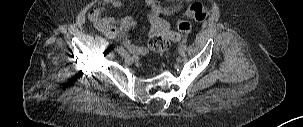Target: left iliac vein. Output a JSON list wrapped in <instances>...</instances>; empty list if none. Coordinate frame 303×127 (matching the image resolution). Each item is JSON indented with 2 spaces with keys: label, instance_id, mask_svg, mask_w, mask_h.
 Returning <instances> with one entry per match:
<instances>
[{
  "label": "left iliac vein",
  "instance_id": "1",
  "mask_svg": "<svg viewBox=\"0 0 303 127\" xmlns=\"http://www.w3.org/2000/svg\"><path fill=\"white\" fill-rule=\"evenodd\" d=\"M179 53H180V55H181L182 57L185 56V51H183L181 48H179Z\"/></svg>",
  "mask_w": 303,
  "mask_h": 127
}]
</instances>
